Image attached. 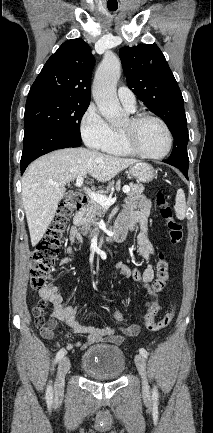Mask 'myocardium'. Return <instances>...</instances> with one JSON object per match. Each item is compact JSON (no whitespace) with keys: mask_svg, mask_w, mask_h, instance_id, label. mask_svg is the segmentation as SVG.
<instances>
[{"mask_svg":"<svg viewBox=\"0 0 213 433\" xmlns=\"http://www.w3.org/2000/svg\"><path fill=\"white\" fill-rule=\"evenodd\" d=\"M145 120L156 121L165 130L168 139V145L166 150L163 153L156 154V155L148 154L139 148L135 139L134 130L140 123H142ZM129 121H130V127L128 129L121 130L120 134L124 145L132 154L146 159H162L165 158L171 152L173 147V135L168 124L162 118L153 115L151 113L142 112V113H137L132 115L129 118Z\"/></svg>","mask_w":213,"mask_h":433,"instance_id":"myocardium-1","label":"myocardium"}]
</instances>
